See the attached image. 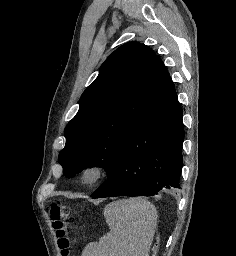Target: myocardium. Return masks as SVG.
<instances>
[{
  "label": "myocardium",
  "instance_id": "1",
  "mask_svg": "<svg viewBox=\"0 0 236 256\" xmlns=\"http://www.w3.org/2000/svg\"><path fill=\"white\" fill-rule=\"evenodd\" d=\"M108 166L98 160L87 162L80 170V179L86 185H96L108 175Z\"/></svg>",
  "mask_w": 236,
  "mask_h": 256
}]
</instances>
